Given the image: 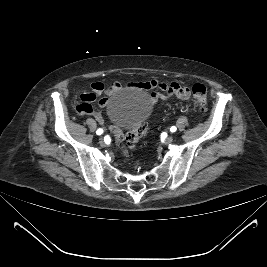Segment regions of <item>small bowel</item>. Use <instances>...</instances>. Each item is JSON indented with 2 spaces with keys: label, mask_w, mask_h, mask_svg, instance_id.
<instances>
[{
  "label": "small bowel",
  "mask_w": 267,
  "mask_h": 267,
  "mask_svg": "<svg viewBox=\"0 0 267 267\" xmlns=\"http://www.w3.org/2000/svg\"><path fill=\"white\" fill-rule=\"evenodd\" d=\"M129 87L139 88L143 90L159 89L169 95H175L180 99L187 100L190 96L188 87L181 85L177 82H168L165 80L152 79L145 82L130 83ZM120 88L118 83H112L109 86L101 82H94L91 85V91L80 95V103L76 104V110L80 114H91L99 122L103 121L102 114L96 111L91 105L102 93L112 94ZM166 96L158 91H153L150 94L149 103L151 106H157L165 100ZM108 103L107 98L100 100V105L105 106Z\"/></svg>",
  "instance_id": "1"
}]
</instances>
